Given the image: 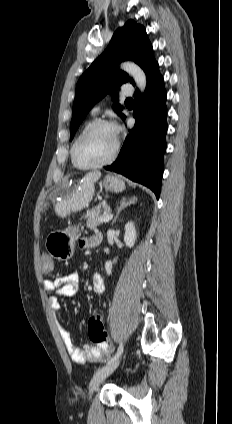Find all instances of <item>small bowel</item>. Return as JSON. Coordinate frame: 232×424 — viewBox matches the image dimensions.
<instances>
[{"label": "small bowel", "mask_w": 232, "mask_h": 424, "mask_svg": "<svg viewBox=\"0 0 232 424\" xmlns=\"http://www.w3.org/2000/svg\"><path fill=\"white\" fill-rule=\"evenodd\" d=\"M99 244V234L88 236L80 240V246L83 249H89ZM79 274L71 272L53 280H46L44 282V289L47 293L52 294L48 298V304L51 312L57 316L60 312L61 305L58 300L59 295L66 297H73L78 293ZM92 289L97 294L104 292V282L99 274H94L92 277ZM58 331L61 339L66 347L67 352L77 363H93L105 360L109 353L110 347L107 343L95 346L85 345L79 348L75 345L68 330L61 325L58 326Z\"/></svg>", "instance_id": "c3829d8e"}]
</instances>
